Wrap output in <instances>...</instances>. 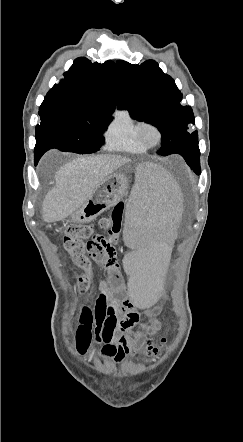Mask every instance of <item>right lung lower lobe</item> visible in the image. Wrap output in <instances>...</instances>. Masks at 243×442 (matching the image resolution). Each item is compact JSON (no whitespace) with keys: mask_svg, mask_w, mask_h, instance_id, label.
Returning a JSON list of instances; mask_svg holds the SVG:
<instances>
[{"mask_svg":"<svg viewBox=\"0 0 243 442\" xmlns=\"http://www.w3.org/2000/svg\"><path fill=\"white\" fill-rule=\"evenodd\" d=\"M42 156V154H37L35 153V162L37 163L40 159V157Z\"/></svg>","mask_w":243,"mask_h":442,"instance_id":"obj_1","label":"right lung lower lobe"}]
</instances>
